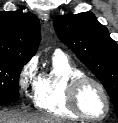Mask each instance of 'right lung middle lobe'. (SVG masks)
<instances>
[{"instance_id":"right-lung-middle-lobe-1","label":"right lung middle lobe","mask_w":118,"mask_h":123,"mask_svg":"<svg viewBox=\"0 0 118 123\" xmlns=\"http://www.w3.org/2000/svg\"><path fill=\"white\" fill-rule=\"evenodd\" d=\"M27 61L0 56V102H14L19 98V74Z\"/></svg>"}]
</instances>
